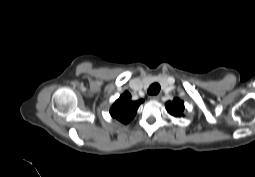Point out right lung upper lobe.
<instances>
[{
	"label": "right lung upper lobe",
	"mask_w": 255,
	"mask_h": 177,
	"mask_svg": "<svg viewBox=\"0 0 255 177\" xmlns=\"http://www.w3.org/2000/svg\"><path fill=\"white\" fill-rule=\"evenodd\" d=\"M142 102V99L132 101L130 93L125 91L112 105L110 114L113 118L127 124L134 118L137 109Z\"/></svg>",
	"instance_id": "obj_1"
}]
</instances>
